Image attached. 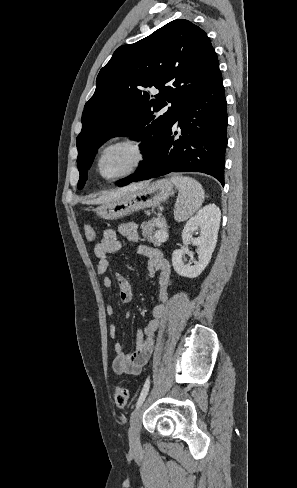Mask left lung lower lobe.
Returning a JSON list of instances; mask_svg holds the SVG:
<instances>
[{
	"instance_id": "left-lung-lower-lobe-1",
	"label": "left lung lower lobe",
	"mask_w": 297,
	"mask_h": 488,
	"mask_svg": "<svg viewBox=\"0 0 297 488\" xmlns=\"http://www.w3.org/2000/svg\"><path fill=\"white\" fill-rule=\"evenodd\" d=\"M225 90L222 74L180 112L156 151L139 172L124 179L121 186L170 172H202L224 186V159L227 145ZM178 122L180 136L174 124Z\"/></svg>"
}]
</instances>
